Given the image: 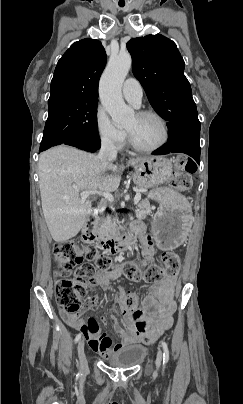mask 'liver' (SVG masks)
<instances>
[{
    "label": "liver",
    "mask_w": 243,
    "mask_h": 404,
    "mask_svg": "<svg viewBox=\"0 0 243 404\" xmlns=\"http://www.w3.org/2000/svg\"><path fill=\"white\" fill-rule=\"evenodd\" d=\"M134 158L129 164L145 162ZM107 170L118 172L109 164ZM42 210L54 242H67L83 228L92 212L90 200H81L80 192H116L121 176H104L98 156L69 146H56L40 154L38 162Z\"/></svg>",
    "instance_id": "liver-1"
}]
</instances>
